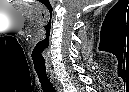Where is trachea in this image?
<instances>
[{
  "label": "trachea",
  "instance_id": "1",
  "mask_svg": "<svg viewBox=\"0 0 129 92\" xmlns=\"http://www.w3.org/2000/svg\"><path fill=\"white\" fill-rule=\"evenodd\" d=\"M36 73L38 75L39 81L41 83L42 89L44 92H55V89L52 85V83L50 82L46 71H37Z\"/></svg>",
  "mask_w": 129,
  "mask_h": 92
}]
</instances>
